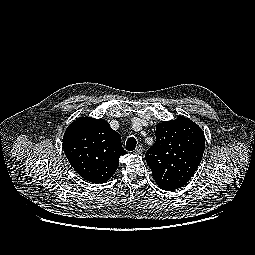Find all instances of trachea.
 I'll list each match as a JSON object with an SVG mask.
<instances>
[{
    "label": "trachea",
    "mask_w": 255,
    "mask_h": 255,
    "mask_svg": "<svg viewBox=\"0 0 255 255\" xmlns=\"http://www.w3.org/2000/svg\"><path fill=\"white\" fill-rule=\"evenodd\" d=\"M136 139L134 137H130L126 142V150L133 151L136 147Z\"/></svg>",
    "instance_id": "3493384b"
}]
</instances>
